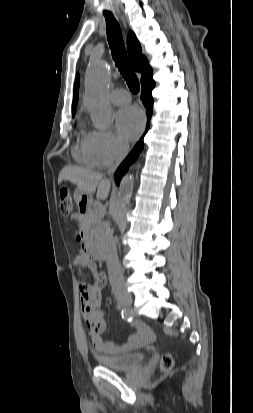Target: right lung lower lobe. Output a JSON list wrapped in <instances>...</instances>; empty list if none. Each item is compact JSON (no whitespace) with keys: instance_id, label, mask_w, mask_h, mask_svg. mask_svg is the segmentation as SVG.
I'll use <instances>...</instances> for the list:
<instances>
[{"instance_id":"1","label":"right lung lower lobe","mask_w":253,"mask_h":413,"mask_svg":"<svg viewBox=\"0 0 253 413\" xmlns=\"http://www.w3.org/2000/svg\"><path fill=\"white\" fill-rule=\"evenodd\" d=\"M141 85H142V94H141V100L146 107V113H147V127L146 131L148 130L149 122L152 116V104H153V98L151 96V91L155 86V82L152 79V74L147 75L143 79H141ZM144 143H143V137L140 139V141L135 145L131 153L126 157V159L122 162V164L119 166L117 169L114 178L116 181V184L119 185L120 180L122 176L127 172L129 165L133 163L139 156L140 152L143 150Z\"/></svg>"}]
</instances>
